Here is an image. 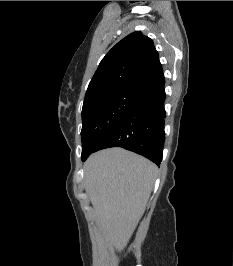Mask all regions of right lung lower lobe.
I'll use <instances>...</instances> for the list:
<instances>
[{
	"instance_id": "1",
	"label": "right lung lower lobe",
	"mask_w": 233,
	"mask_h": 266,
	"mask_svg": "<svg viewBox=\"0 0 233 266\" xmlns=\"http://www.w3.org/2000/svg\"><path fill=\"white\" fill-rule=\"evenodd\" d=\"M164 84L165 80L148 90L92 152L109 147H122L160 165L165 141ZM91 153L82 156V161Z\"/></svg>"
}]
</instances>
